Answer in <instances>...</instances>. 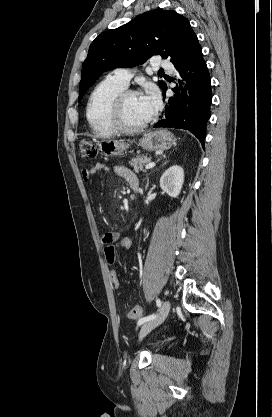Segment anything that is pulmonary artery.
<instances>
[{
    "mask_svg": "<svg viewBox=\"0 0 272 417\" xmlns=\"http://www.w3.org/2000/svg\"><path fill=\"white\" fill-rule=\"evenodd\" d=\"M156 66L158 68H163L167 70L172 69V64L167 60H159ZM132 76L133 73L128 68H117L113 70L109 75L111 79H113L114 81H116L124 87H127L129 85Z\"/></svg>",
    "mask_w": 272,
    "mask_h": 417,
    "instance_id": "pulmonary-artery-1",
    "label": "pulmonary artery"
}]
</instances>
